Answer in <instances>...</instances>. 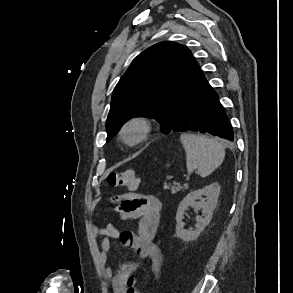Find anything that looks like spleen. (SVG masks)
I'll return each mask as SVG.
<instances>
[{"label": "spleen", "mask_w": 293, "mask_h": 293, "mask_svg": "<svg viewBox=\"0 0 293 293\" xmlns=\"http://www.w3.org/2000/svg\"><path fill=\"white\" fill-rule=\"evenodd\" d=\"M181 143L186 152L188 174L195 169L204 178L218 168L225 157V146L215 138L192 133H182Z\"/></svg>", "instance_id": "3e777b00"}]
</instances>
